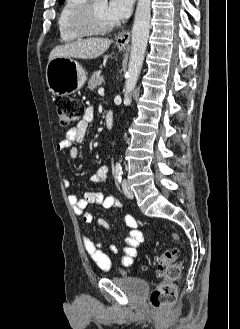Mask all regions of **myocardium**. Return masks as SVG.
<instances>
[{"mask_svg": "<svg viewBox=\"0 0 240 329\" xmlns=\"http://www.w3.org/2000/svg\"><path fill=\"white\" fill-rule=\"evenodd\" d=\"M94 0H85L72 18V27L79 34H99L111 31L115 24L101 22L94 11Z\"/></svg>", "mask_w": 240, "mask_h": 329, "instance_id": "myocardium-1", "label": "myocardium"}]
</instances>
